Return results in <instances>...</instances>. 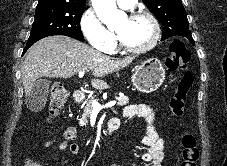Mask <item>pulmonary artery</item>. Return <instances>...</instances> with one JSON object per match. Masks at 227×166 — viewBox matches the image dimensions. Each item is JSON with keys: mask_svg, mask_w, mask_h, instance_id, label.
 <instances>
[{"mask_svg": "<svg viewBox=\"0 0 227 166\" xmlns=\"http://www.w3.org/2000/svg\"><path fill=\"white\" fill-rule=\"evenodd\" d=\"M136 2L137 0H117L118 5L122 9H132L135 6Z\"/></svg>", "mask_w": 227, "mask_h": 166, "instance_id": "pulmonary-artery-1", "label": "pulmonary artery"}]
</instances>
